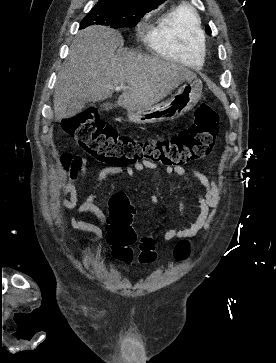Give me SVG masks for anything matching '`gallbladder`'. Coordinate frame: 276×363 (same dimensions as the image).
<instances>
[{"mask_svg": "<svg viewBox=\"0 0 276 363\" xmlns=\"http://www.w3.org/2000/svg\"><path fill=\"white\" fill-rule=\"evenodd\" d=\"M84 105V101L79 99H72L68 106V112H70L72 115H77L82 111Z\"/></svg>", "mask_w": 276, "mask_h": 363, "instance_id": "obj_1", "label": "gallbladder"}]
</instances>
